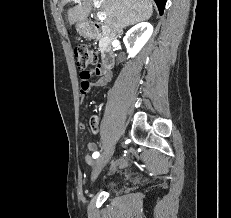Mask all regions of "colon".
I'll list each match as a JSON object with an SVG mask.
<instances>
[{
  "label": "colon",
  "instance_id": "colon-1",
  "mask_svg": "<svg viewBox=\"0 0 231 218\" xmlns=\"http://www.w3.org/2000/svg\"><path fill=\"white\" fill-rule=\"evenodd\" d=\"M73 54L80 71L81 69H89L90 66H95L99 62L97 52L83 44L75 45Z\"/></svg>",
  "mask_w": 231,
  "mask_h": 218
}]
</instances>
